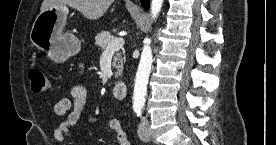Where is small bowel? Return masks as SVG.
Masks as SVG:
<instances>
[{
    "label": "small bowel",
    "mask_w": 276,
    "mask_h": 145,
    "mask_svg": "<svg viewBox=\"0 0 276 145\" xmlns=\"http://www.w3.org/2000/svg\"><path fill=\"white\" fill-rule=\"evenodd\" d=\"M87 102L88 92L86 88L81 85H75L70 90V97L60 99L55 104L54 113L56 116H64L72 108V112L67 119L54 131V138L57 142L63 143L68 139L73 145H79L77 137L71 132V128L79 122ZM108 126L114 133L118 145H131L128 135L118 118H109Z\"/></svg>",
    "instance_id": "obj_1"
}]
</instances>
